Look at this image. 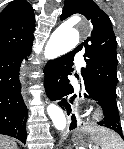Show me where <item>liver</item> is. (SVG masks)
I'll return each instance as SVG.
<instances>
[{"label": "liver", "instance_id": "6515ba94", "mask_svg": "<svg viewBox=\"0 0 124 149\" xmlns=\"http://www.w3.org/2000/svg\"><path fill=\"white\" fill-rule=\"evenodd\" d=\"M0 149H18L14 140L0 135Z\"/></svg>", "mask_w": 124, "mask_h": 149}]
</instances>
